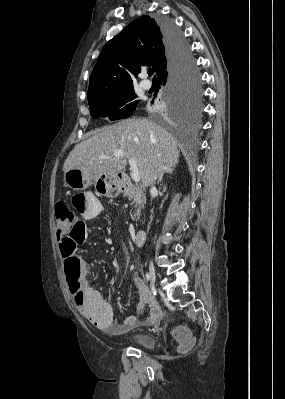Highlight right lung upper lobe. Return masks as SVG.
I'll use <instances>...</instances> for the list:
<instances>
[{"mask_svg": "<svg viewBox=\"0 0 285 399\" xmlns=\"http://www.w3.org/2000/svg\"><path fill=\"white\" fill-rule=\"evenodd\" d=\"M166 64L160 25L144 15L103 47L89 79L88 101L133 89L132 79L143 66H152L158 75Z\"/></svg>", "mask_w": 285, "mask_h": 399, "instance_id": "right-lung-upper-lobe-1", "label": "right lung upper lobe"}]
</instances>
